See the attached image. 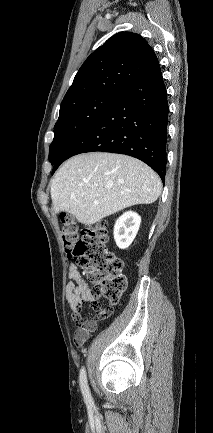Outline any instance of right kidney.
Segmentation results:
<instances>
[{"label": "right kidney", "mask_w": 213, "mask_h": 433, "mask_svg": "<svg viewBox=\"0 0 213 433\" xmlns=\"http://www.w3.org/2000/svg\"><path fill=\"white\" fill-rule=\"evenodd\" d=\"M141 217L132 211L120 216L114 226V240L120 249L128 248L139 230Z\"/></svg>", "instance_id": "right-kidney-1"}]
</instances>
